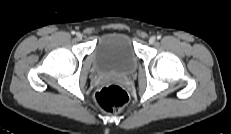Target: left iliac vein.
Returning <instances> with one entry per match:
<instances>
[{"label":"left iliac vein","instance_id":"left-iliac-vein-1","mask_svg":"<svg viewBox=\"0 0 231 134\" xmlns=\"http://www.w3.org/2000/svg\"><path fill=\"white\" fill-rule=\"evenodd\" d=\"M155 40H156V38L154 36H152V37L149 38V43L154 44Z\"/></svg>","mask_w":231,"mask_h":134}]
</instances>
